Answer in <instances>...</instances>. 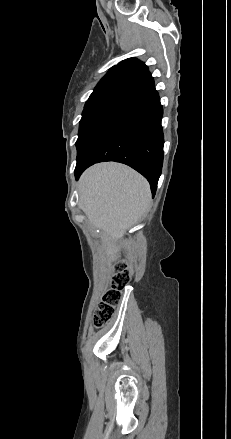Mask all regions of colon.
Returning a JSON list of instances; mask_svg holds the SVG:
<instances>
[{"instance_id":"5ec220e1","label":"colon","mask_w":231,"mask_h":439,"mask_svg":"<svg viewBox=\"0 0 231 439\" xmlns=\"http://www.w3.org/2000/svg\"><path fill=\"white\" fill-rule=\"evenodd\" d=\"M131 279V271L127 264L120 263L116 266L111 287L103 295L102 301L98 304L94 315L93 324L96 328L104 327L112 318L115 308L121 301L122 291Z\"/></svg>"}]
</instances>
